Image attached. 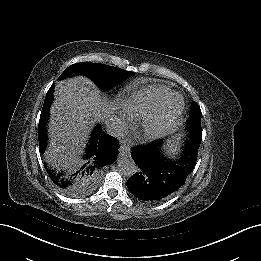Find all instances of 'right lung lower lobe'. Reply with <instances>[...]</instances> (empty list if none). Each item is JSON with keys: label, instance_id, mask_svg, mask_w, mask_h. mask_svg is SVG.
I'll use <instances>...</instances> for the list:
<instances>
[{"label": "right lung lower lobe", "instance_id": "obj_1", "mask_svg": "<svg viewBox=\"0 0 261 261\" xmlns=\"http://www.w3.org/2000/svg\"><path fill=\"white\" fill-rule=\"evenodd\" d=\"M53 89L54 84L47 92L39 120V150L42 155L46 149V123L48 119L49 105L53 98ZM118 148V141L108 134H102L100 126H97L92 134L90 144L88 145L86 151V156H90L92 159L89 174L97 175L99 169L104 167L106 164L112 163L117 158ZM48 174L50 175L52 181L60 188L63 190H72L70 185L71 181H60L58 177L54 176L49 170Z\"/></svg>", "mask_w": 261, "mask_h": 261}]
</instances>
